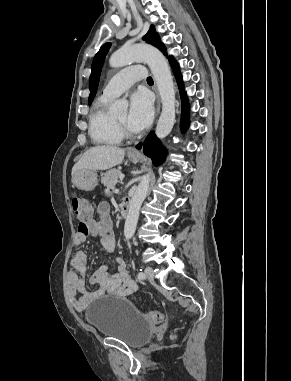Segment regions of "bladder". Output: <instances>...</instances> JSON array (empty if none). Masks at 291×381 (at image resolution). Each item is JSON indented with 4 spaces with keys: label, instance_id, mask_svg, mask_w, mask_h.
Here are the masks:
<instances>
[{
    "label": "bladder",
    "instance_id": "obj_1",
    "mask_svg": "<svg viewBox=\"0 0 291 381\" xmlns=\"http://www.w3.org/2000/svg\"><path fill=\"white\" fill-rule=\"evenodd\" d=\"M86 316L101 335L121 340L133 348L148 342L155 331V325L127 298L97 301Z\"/></svg>",
    "mask_w": 291,
    "mask_h": 381
}]
</instances>
